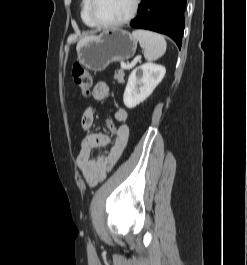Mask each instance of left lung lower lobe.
<instances>
[{"instance_id": "1", "label": "left lung lower lobe", "mask_w": 247, "mask_h": 265, "mask_svg": "<svg viewBox=\"0 0 247 265\" xmlns=\"http://www.w3.org/2000/svg\"><path fill=\"white\" fill-rule=\"evenodd\" d=\"M185 5L186 0H142L130 26L168 35L181 48Z\"/></svg>"}]
</instances>
